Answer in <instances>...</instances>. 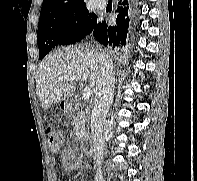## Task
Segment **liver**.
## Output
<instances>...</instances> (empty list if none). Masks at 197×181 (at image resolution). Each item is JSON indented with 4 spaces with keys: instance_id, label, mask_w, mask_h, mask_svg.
Returning a JSON list of instances; mask_svg holds the SVG:
<instances>
[{
    "instance_id": "6515ba94",
    "label": "liver",
    "mask_w": 197,
    "mask_h": 181,
    "mask_svg": "<svg viewBox=\"0 0 197 181\" xmlns=\"http://www.w3.org/2000/svg\"><path fill=\"white\" fill-rule=\"evenodd\" d=\"M103 61H107L113 70L112 59L107 54L75 47L57 51L42 60L36 80V93L42 108H50L51 105L69 98L75 91V84L58 81L60 76L85 73L91 93L95 94Z\"/></svg>"
}]
</instances>
